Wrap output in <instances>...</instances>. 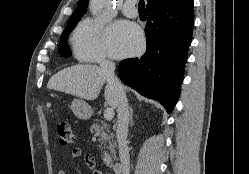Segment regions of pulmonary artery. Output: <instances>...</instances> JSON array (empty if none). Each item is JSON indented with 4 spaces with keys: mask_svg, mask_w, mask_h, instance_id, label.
Returning a JSON list of instances; mask_svg holds the SVG:
<instances>
[{
    "mask_svg": "<svg viewBox=\"0 0 249 174\" xmlns=\"http://www.w3.org/2000/svg\"><path fill=\"white\" fill-rule=\"evenodd\" d=\"M136 0H126L123 4L121 10L129 18H137L138 17V10L135 6Z\"/></svg>",
    "mask_w": 249,
    "mask_h": 174,
    "instance_id": "1",
    "label": "pulmonary artery"
}]
</instances>
